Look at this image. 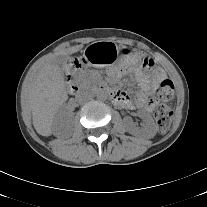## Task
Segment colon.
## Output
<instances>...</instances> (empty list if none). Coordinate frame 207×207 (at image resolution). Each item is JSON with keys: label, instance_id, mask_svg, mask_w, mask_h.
<instances>
[{"label": "colon", "instance_id": "obj_1", "mask_svg": "<svg viewBox=\"0 0 207 207\" xmlns=\"http://www.w3.org/2000/svg\"><path fill=\"white\" fill-rule=\"evenodd\" d=\"M139 65L146 72H156L158 63L151 57H141ZM174 85L170 80H163L156 91L155 120L160 133L168 131L172 121V111L165 104L174 98Z\"/></svg>", "mask_w": 207, "mask_h": 207}]
</instances>
